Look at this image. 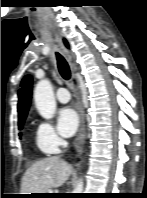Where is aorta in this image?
Listing matches in <instances>:
<instances>
[{
  "label": "aorta",
  "instance_id": "obj_1",
  "mask_svg": "<svg viewBox=\"0 0 147 198\" xmlns=\"http://www.w3.org/2000/svg\"><path fill=\"white\" fill-rule=\"evenodd\" d=\"M35 106L39 114L49 120L54 117L56 101L53 94L52 84L48 79L40 80L34 89ZM83 179H79L73 193H83Z\"/></svg>",
  "mask_w": 147,
  "mask_h": 198
}]
</instances>
